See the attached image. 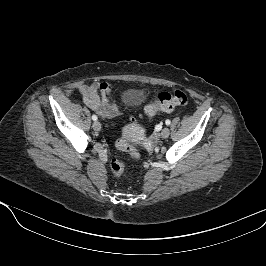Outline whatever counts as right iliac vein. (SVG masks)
<instances>
[{"instance_id": "right-iliac-vein-1", "label": "right iliac vein", "mask_w": 266, "mask_h": 266, "mask_svg": "<svg viewBox=\"0 0 266 266\" xmlns=\"http://www.w3.org/2000/svg\"><path fill=\"white\" fill-rule=\"evenodd\" d=\"M93 129H94L95 131H100V130H101V123H100L99 121H95V122L93 123Z\"/></svg>"}]
</instances>
